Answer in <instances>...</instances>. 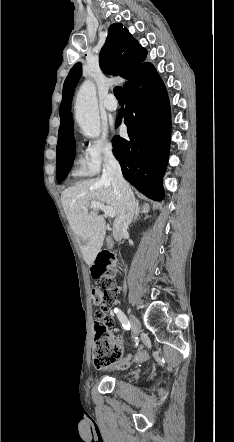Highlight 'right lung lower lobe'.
Masks as SVG:
<instances>
[{
	"instance_id": "98d812e1",
	"label": "right lung lower lobe",
	"mask_w": 234,
	"mask_h": 442,
	"mask_svg": "<svg viewBox=\"0 0 234 442\" xmlns=\"http://www.w3.org/2000/svg\"><path fill=\"white\" fill-rule=\"evenodd\" d=\"M124 96L126 107L120 110L116 124L125 123L129 139L113 138L114 155L129 183L150 199L161 201L171 135L167 91L152 66L128 82Z\"/></svg>"
}]
</instances>
